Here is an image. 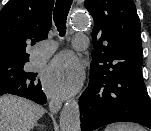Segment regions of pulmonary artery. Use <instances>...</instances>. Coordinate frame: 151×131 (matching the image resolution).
<instances>
[{
	"instance_id": "pulmonary-artery-1",
	"label": "pulmonary artery",
	"mask_w": 151,
	"mask_h": 131,
	"mask_svg": "<svg viewBox=\"0 0 151 131\" xmlns=\"http://www.w3.org/2000/svg\"><path fill=\"white\" fill-rule=\"evenodd\" d=\"M74 46L77 49H85L88 46V38L85 35H76L74 39ZM54 51V46L41 48L37 51V63L45 61Z\"/></svg>"
}]
</instances>
